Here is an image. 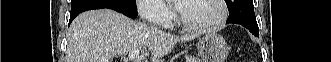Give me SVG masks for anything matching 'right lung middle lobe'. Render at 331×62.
Masks as SVG:
<instances>
[{
	"instance_id": "dd1d6c3e",
	"label": "right lung middle lobe",
	"mask_w": 331,
	"mask_h": 62,
	"mask_svg": "<svg viewBox=\"0 0 331 62\" xmlns=\"http://www.w3.org/2000/svg\"><path fill=\"white\" fill-rule=\"evenodd\" d=\"M71 12L87 8H115L133 17L138 15L135 0H72Z\"/></svg>"
}]
</instances>
